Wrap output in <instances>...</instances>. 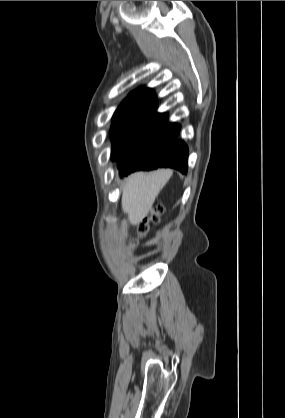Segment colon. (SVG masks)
<instances>
[{"label": "colon", "instance_id": "5ec220e1", "mask_svg": "<svg viewBox=\"0 0 285 418\" xmlns=\"http://www.w3.org/2000/svg\"><path fill=\"white\" fill-rule=\"evenodd\" d=\"M162 213H163V208L162 207H157L154 210L152 219L153 220H156L160 215H162ZM147 226H148V224H147V221L146 220H144L143 222H141V224L138 227L137 237L144 236V234L147 231Z\"/></svg>", "mask_w": 285, "mask_h": 418}]
</instances>
